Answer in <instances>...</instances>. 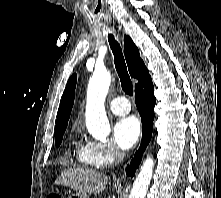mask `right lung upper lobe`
<instances>
[{
  "label": "right lung upper lobe",
  "instance_id": "right-lung-upper-lobe-1",
  "mask_svg": "<svg viewBox=\"0 0 221 198\" xmlns=\"http://www.w3.org/2000/svg\"><path fill=\"white\" fill-rule=\"evenodd\" d=\"M124 52L130 75L138 79L135 89L142 86L151 77L144 62L140 58L139 51L129 36H124ZM76 74L72 75L63 93L59 113L56 121L55 132L67 127L72 106L74 103V91L76 87Z\"/></svg>",
  "mask_w": 221,
  "mask_h": 198
}]
</instances>
